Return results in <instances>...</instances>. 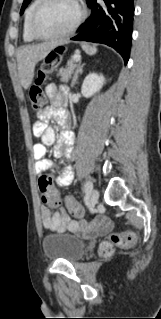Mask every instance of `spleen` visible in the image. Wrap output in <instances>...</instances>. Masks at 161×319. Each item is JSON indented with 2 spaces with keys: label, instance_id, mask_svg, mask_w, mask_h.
Masks as SVG:
<instances>
[{
  "label": "spleen",
  "instance_id": "obj_1",
  "mask_svg": "<svg viewBox=\"0 0 161 319\" xmlns=\"http://www.w3.org/2000/svg\"><path fill=\"white\" fill-rule=\"evenodd\" d=\"M82 48L88 55H94L97 52L96 47H92L90 45H83Z\"/></svg>",
  "mask_w": 161,
  "mask_h": 319
}]
</instances>
